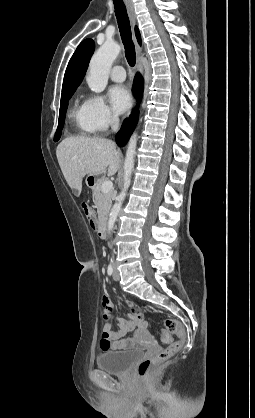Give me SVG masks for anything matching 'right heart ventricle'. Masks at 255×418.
<instances>
[{"label":"right heart ventricle","mask_w":255,"mask_h":418,"mask_svg":"<svg viewBox=\"0 0 255 418\" xmlns=\"http://www.w3.org/2000/svg\"><path fill=\"white\" fill-rule=\"evenodd\" d=\"M69 117L78 132L82 134L92 132L86 121L84 102L76 101L70 110Z\"/></svg>","instance_id":"right-heart-ventricle-1"}]
</instances>
